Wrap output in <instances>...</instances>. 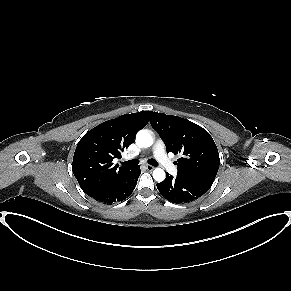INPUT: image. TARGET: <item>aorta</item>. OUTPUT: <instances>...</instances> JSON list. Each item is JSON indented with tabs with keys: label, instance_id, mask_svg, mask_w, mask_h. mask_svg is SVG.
Here are the masks:
<instances>
[{
	"label": "aorta",
	"instance_id": "1",
	"mask_svg": "<svg viewBox=\"0 0 291 291\" xmlns=\"http://www.w3.org/2000/svg\"><path fill=\"white\" fill-rule=\"evenodd\" d=\"M136 140L140 144V146L144 148H148L153 144V138L151 134L146 130H140L136 135ZM153 178L162 182L165 179V172L161 168H156L153 170Z\"/></svg>",
	"mask_w": 291,
	"mask_h": 291
}]
</instances>
